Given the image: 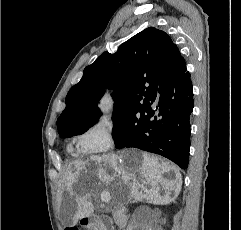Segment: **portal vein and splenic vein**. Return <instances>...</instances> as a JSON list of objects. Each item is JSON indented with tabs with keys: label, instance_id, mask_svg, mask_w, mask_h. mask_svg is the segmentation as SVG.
Here are the masks:
<instances>
[{
	"label": "portal vein and splenic vein",
	"instance_id": "portal-vein-and-splenic-vein-1",
	"mask_svg": "<svg viewBox=\"0 0 241 230\" xmlns=\"http://www.w3.org/2000/svg\"><path fill=\"white\" fill-rule=\"evenodd\" d=\"M110 200V195L108 193L101 194V201L108 202Z\"/></svg>",
	"mask_w": 241,
	"mask_h": 230
}]
</instances>
